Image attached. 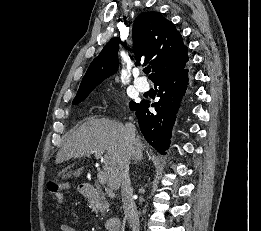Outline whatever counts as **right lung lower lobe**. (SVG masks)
<instances>
[{
	"mask_svg": "<svg viewBox=\"0 0 261 231\" xmlns=\"http://www.w3.org/2000/svg\"><path fill=\"white\" fill-rule=\"evenodd\" d=\"M190 76L189 68L185 67L154 82L155 87L158 86L157 91L160 97L157 103L151 105L156 110L155 114L149 112L148 101H142L131 109L136 112L139 127L145 139L160 154L165 155L170 145L172 128Z\"/></svg>",
	"mask_w": 261,
	"mask_h": 231,
	"instance_id": "1",
	"label": "right lung lower lobe"
}]
</instances>
